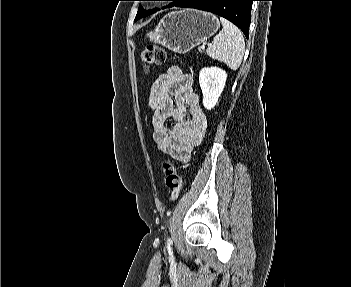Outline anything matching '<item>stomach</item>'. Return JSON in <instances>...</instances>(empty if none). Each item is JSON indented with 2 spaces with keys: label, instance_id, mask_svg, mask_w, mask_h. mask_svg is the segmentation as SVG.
Instances as JSON below:
<instances>
[{
  "label": "stomach",
  "instance_id": "1",
  "mask_svg": "<svg viewBox=\"0 0 351 287\" xmlns=\"http://www.w3.org/2000/svg\"><path fill=\"white\" fill-rule=\"evenodd\" d=\"M219 28L220 22L215 15L185 9L166 14L147 37L175 53L185 54L213 36Z\"/></svg>",
  "mask_w": 351,
  "mask_h": 287
}]
</instances>
